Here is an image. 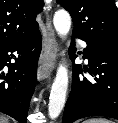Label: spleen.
<instances>
[{"instance_id":"1","label":"spleen","mask_w":118,"mask_h":123,"mask_svg":"<svg viewBox=\"0 0 118 123\" xmlns=\"http://www.w3.org/2000/svg\"><path fill=\"white\" fill-rule=\"evenodd\" d=\"M83 123H113V122L105 118H90L88 120H85Z\"/></svg>"}]
</instances>
